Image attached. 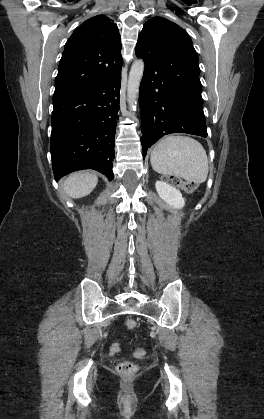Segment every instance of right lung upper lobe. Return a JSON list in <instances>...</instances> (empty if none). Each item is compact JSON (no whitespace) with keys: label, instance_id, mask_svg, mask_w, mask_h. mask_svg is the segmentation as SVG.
Returning a JSON list of instances; mask_svg holds the SVG:
<instances>
[{"label":"right lung upper lobe","instance_id":"1","mask_svg":"<svg viewBox=\"0 0 264 419\" xmlns=\"http://www.w3.org/2000/svg\"><path fill=\"white\" fill-rule=\"evenodd\" d=\"M122 63L117 25L105 15L92 17L65 44L54 95L103 83L121 71Z\"/></svg>","mask_w":264,"mask_h":419}]
</instances>
